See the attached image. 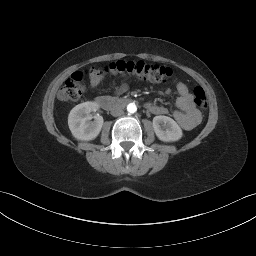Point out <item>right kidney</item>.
Masks as SVG:
<instances>
[{
  "mask_svg": "<svg viewBox=\"0 0 256 256\" xmlns=\"http://www.w3.org/2000/svg\"><path fill=\"white\" fill-rule=\"evenodd\" d=\"M99 105L95 102L87 101L76 105L69 113L68 126L72 135L82 141L95 139L103 126V117L99 114L94 117L90 115L92 111L98 110ZM92 118H94L93 121Z\"/></svg>",
  "mask_w": 256,
  "mask_h": 256,
  "instance_id": "right-kidney-1",
  "label": "right kidney"
}]
</instances>
